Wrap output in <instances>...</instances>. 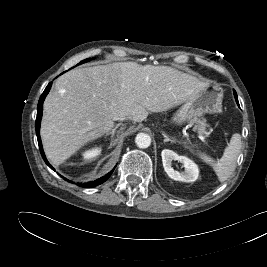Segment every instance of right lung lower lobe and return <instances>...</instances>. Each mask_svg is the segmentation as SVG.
Wrapping results in <instances>:
<instances>
[{"label":"right lung lower lobe","mask_w":267,"mask_h":267,"mask_svg":"<svg viewBox=\"0 0 267 267\" xmlns=\"http://www.w3.org/2000/svg\"><path fill=\"white\" fill-rule=\"evenodd\" d=\"M51 85L52 83H49L48 86L46 87V89L44 90V92L42 93L40 99H39V102H38V107H37V119H36V135H37V139H38V144H39V148H40V152H41V155L44 159V161L46 162V164L52 169L54 170V168L48 163L46 157H45V154L43 152V148H42V143H41V139H40V134H39V130H40V122H41V117H42V110H43V102H44V99L46 97V95L48 94L50 88H51ZM114 170H112L111 172H109L107 175L95 180V181H92V182H87V183H79L78 186H81V187H94V186H97L99 184H102L103 182H105L109 177L110 175L113 173ZM65 179V178H64ZM66 180V179H65Z\"/></svg>","instance_id":"98d812e1"}]
</instances>
